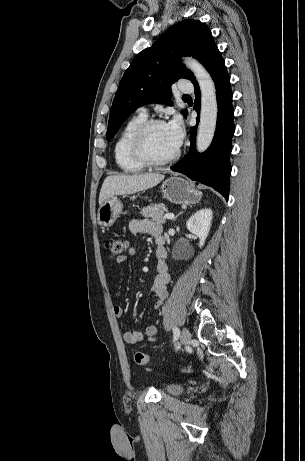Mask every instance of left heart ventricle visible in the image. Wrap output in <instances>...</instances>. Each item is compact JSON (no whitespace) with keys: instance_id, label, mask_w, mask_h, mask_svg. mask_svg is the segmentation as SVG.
<instances>
[{"instance_id":"obj_1","label":"left heart ventricle","mask_w":305,"mask_h":461,"mask_svg":"<svg viewBox=\"0 0 305 461\" xmlns=\"http://www.w3.org/2000/svg\"><path fill=\"white\" fill-rule=\"evenodd\" d=\"M176 150L168 136L166 125H158L150 130L146 140V151L152 159H165Z\"/></svg>"}]
</instances>
